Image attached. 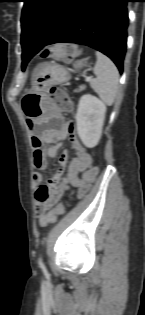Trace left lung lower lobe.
<instances>
[{"label":"left lung lower lobe","instance_id":"0a47b994","mask_svg":"<svg viewBox=\"0 0 145 315\" xmlns=\"http://www.w3.org/2000/svg\"><path fill=\"white\" fill-rule=\"evenodd\" d=\"M130 1L74 0L61 26L49 40L42 42L31 34L21 38L22 58L31 59L50 44L76 43L107 55L122 73L129 21L127 2Z\"/></svg>","mask_w":145,"mask_h":315}]
</instances>
